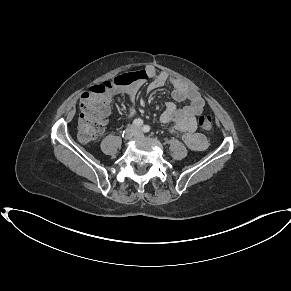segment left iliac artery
I'll use <instances>...</instances> for the list:
<instances>
[{
	"label": "left iliac artery",
	"mask_w": 291,
	"mask_h": 291,
	"mask_svg": "<svg viewBox=\"0 0 291 291\" xmlns=\"http://www.w3.org/2000/svg\"><path fill=\"white\" fill-rule=\"evenodd\" d=\"M142 130H143L145 133H147V132L150 131V126H148V125H144L143 128H142Z\"/></svg>",
	"instance_id": "left-iliac-artery-1"
}]
</instances>
